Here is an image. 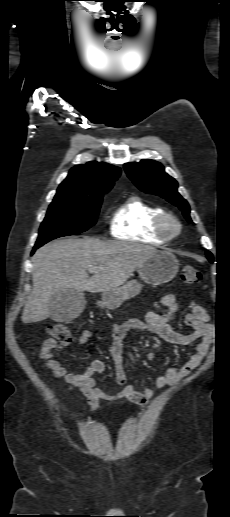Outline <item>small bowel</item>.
<instances>
[{
	"instance_id": "small-bowel-1",
	"label": "small bowel",
	"mask_w": 230,
	"mask_h": 517,
	"mask_svg": "<svg viewBox=\"0 0 230 517\" xmlns=\"http://www.w3.org/2000/svg\"><path fill=\"white\" fill-rule=\"evenodd\" d=\"M161 304L165 308L162 312H149L146 319H131L122 324H113L110 328L111 342L108 351L115 365V377L117 383L122 386V391L114 394L104 392L99 388L94 375L106 370L103 361L95 360L81 373L69 372L55 359L54 351L66 348L53 338L46 339L39 351V358L45 367L56 377L68 384L69 390L79 389L85 396L92 411L98 410L100 401L116 402L126 398L130 403L145 405L153 397L155 389L176 385L180 380L188 376L207 357L211 345L215 340V328L209 323V317L205 309L194 301L187 303L189 312L185 316V324L192 329L189 334H181L172 329L171 323L175 319L181 304L172 294H166L161 298ZM140 330L159 336L168 343L187 346L194 345V351L182 366H172L160 373L154 381V387L145 386L141 391L136 389L134 383L127 379L123 362V341L128 331ZM93 337L91 330H84L79 343L86 344ZM149 361L156 358L155 352L146 355Z\"/></svg>"
}]
</instances>
